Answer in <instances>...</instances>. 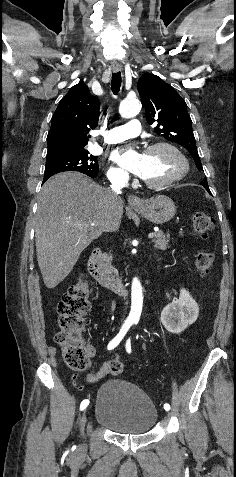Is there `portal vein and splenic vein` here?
<instances>
[{"instance_id":"18ae733b","label":"portal vein and splenic vein","mask_w":236,"mask_h":477,"mask_svg":"<svg viewBox=\"0 0 236 477\" xmlns=\"http://www.w3.org/2000/svg\"><path fill=\"white\" fill-rule=\"evenodd\" d=\"M154 237V233H149L148 238L152 239Z\"/></svg>"}]
</instances>
